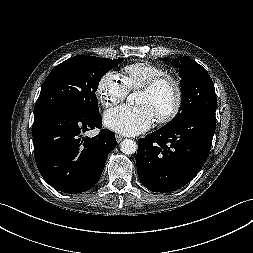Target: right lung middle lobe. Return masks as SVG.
Masks as SVG:
<instances>
[{
    "mask_svg": "<svg viewBox=\"0 0 253 253\" xmlns=\"http://www.w3.org/2000/svg\"><path fill=\"white\" fill-rule=\"evenodd\" d=\"M123 59L78 55L57 65L43 83L35 113L63 109L80 115L99 112L95 95L101 78Z\"/></svg>",
    "mask_w": 253,
    "mask_h": 253,
    "instance_id": "1",
    "label": "right lung middle lobe"
}]
</instances>
